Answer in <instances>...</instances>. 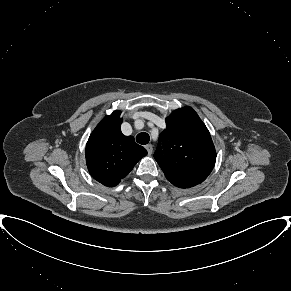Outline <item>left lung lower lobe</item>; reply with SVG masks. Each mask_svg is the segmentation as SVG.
Returning <instances> with one entry per match:
<instances>
[{"label": "left lung lower lobe", "mask_w": 291, "mask_h": 291, "mask_svg": "<svg viewBox=\"0 0 291 291\" xmlns=\"http://www.w3.org/2000/svg\"><path fill=\"white\" fill-rule=\"evenodd\" d=\"M173 185L180 187V188H190L189 186L183 185V184H173Z\"/></svg>", "instance_id": "left-lung-lower-lobe-1"}]
</instances>
